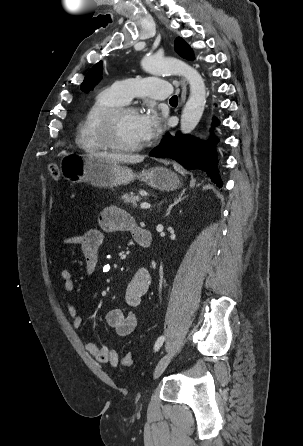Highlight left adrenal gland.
<instances>
[{
	"instance_id": "obj_1",
	"label": "left adrenal gland",
	"mask_w": 303,
	"mask_h": 446,
	"mask_svg": "<svg viewBox=\"0 0 303 446\" xmlns=\"http://www.w3.org/2000/svg\"><path fill=\"white\" fill-rule=\"evenodd\" d=\"M185 192H186V189H183V190L181 191V193L178 195V197H176V198L174 199L173 203L170 204L169 207H168V209L166 210V214H165V216H168V215L170 214V211H171V209L173 208V206H175L176 204H178L179 202H181L182 200H184V199L186 198V196H184ZM162 203H163V201H161V202L159 203V205H158L159 208H160V206H161Z\"/></svg>"
}]
</instances>
